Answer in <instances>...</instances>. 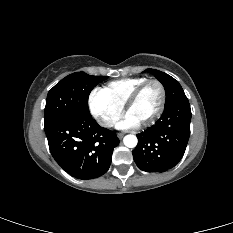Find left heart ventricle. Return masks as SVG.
Returning <instances> with one entry per match:
<instances>
[{
    "mask_svg": "<svg viewBox=\"0 0 233 233\" xmlns=\"http://www.w3.org/2000/svg\"><path fill=\"white\" fill-rule=\"evenodd\" d=\"M161 101V92L156 84L148 85L140 94L136 102L131 106L128 114L134 117L138 123L150 118L158 109Z\"/></svg>",
    "mask_w": 233,
    "mask_h": 233,
    "instance_id": "b2bd125f",
    "label": "left heart ventricle"
}]
</instances>
